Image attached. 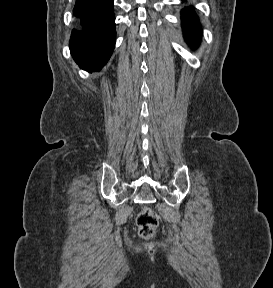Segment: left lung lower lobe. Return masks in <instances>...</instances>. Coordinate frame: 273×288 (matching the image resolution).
Masks as SVG:
<instances>
[{"mask_svg": "<svg viewBox=\"0 0 273 288\" xmlns=\"http://www.w3.org/2000/svg\"><path fill=\"white\" fill-rule=\"evenodd\" d=\"M182 26L187 42L195 47L201 37V31L197 17L192 9H184L182 11Z\"/></svg>", "mask_w": 273, "mask_h": 288, "instance_id": "obj_1", "label": "left lung lower lobe"}]
</instances>
